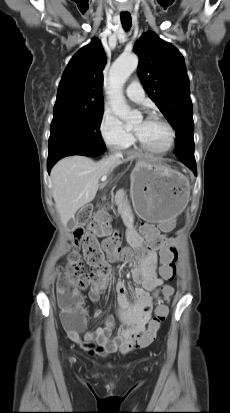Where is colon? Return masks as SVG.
Returning a JSON list of instances; mask_svg holds the SVG:
<instances>
[{
    "label": "colon",
    "instance_id": "obj_1",
    "mask_svg": "<svg viewBox=\"0 0 230 413\" xmlns=\"http://www.w3.org/2000/svg\"><path fill=\"white\" fill-rule=\"evenodd\" d=\"M77 226L73 232L72 245L75 249L81 248L83 260L77 251H72L68 261L59 276L58 301L62 308L72 313V319L79 322L81 313L78 309V297L73 288L83 289L90 284L99 286L103 283L104 276L109 271L106 257L118 255L125 260H132L134 254L129 250L120 251V234L114 231L108 236L102 245L97 242V236L101 235L109 225V215L101 207L96 212L91 206L81 208L77 213ZM161 247L159 259L161 265L157 266V273L167 281H173L176 275L177 243L168 240L164 243L163 237L154 239L151 246L141 250V258L148 251ZM84 262L89 265L90 272L85 271ZM171 297L165 296L159 300L155 315L149 323L148 329L139 337L133 339L126 351L148 345L155 338L161 322L168 314L166 303Z\"/></svg>",
    "mask_w": 230,
    "mask_h": 413
}]
</instances>
